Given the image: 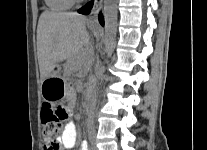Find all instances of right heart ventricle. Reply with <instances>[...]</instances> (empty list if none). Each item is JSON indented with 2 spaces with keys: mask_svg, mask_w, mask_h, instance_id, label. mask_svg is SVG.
<instances>
[{
  "mask_svg": "<svg viewBox=\"0 0 207 150\" xmlns=\"http://www.w3.org/2000/svg\"><path fill=\"white\" fill-rule=\"evenodd\" d=\"M47 7L51 11L62 12L72 8L73 0H45Z\"/></svg>",
  "mask_w": 207,
  "mask_h": 150,
  "instance_id": "e07e8e85",
  "label": "right heart ventricle"
}]
</instances>
